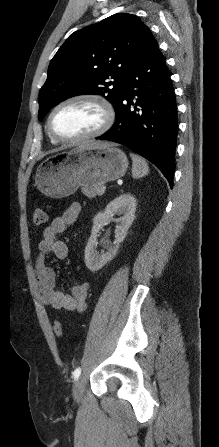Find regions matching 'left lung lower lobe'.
I'll return each instance as SVG.
<instances>
[{"label":"left lung lower lobe","mask_w":219,"mask_h":447,"mask_svg":"<svg viewBox=\"0 0 219 447\" xmlns=\"http://www.w3.org/2000/svg\"><path fill=\"white\" fill-rule=\"evenodd\" d=\"M170 76L151 36L126 76L114 125L96 139L120 143L145 157L172 188L178 117Z\"/></svg>","instance_id":"0a47b994"}]
</instances>
